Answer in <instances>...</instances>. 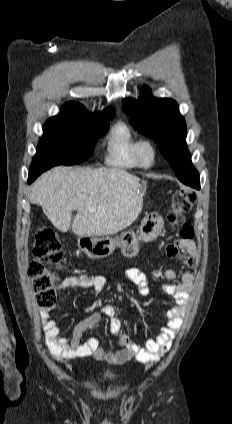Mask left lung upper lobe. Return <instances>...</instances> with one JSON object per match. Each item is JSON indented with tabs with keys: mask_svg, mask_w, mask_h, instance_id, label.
Returning <instances> with one entry per match:
<instances>
[{
	"mask_svg": "<svg viewBox=\"0 0 232 424\" xmlns=\"http://www.w3.org/2000/svg\"><path fill=\"white\" fill-rule=\"evenodd\" d=\"M123 110L138 131L157 143L180 181L197 173L186 146V123L174 100L152 97L144 87L138 100L123 99Z\"/></svg>",
	"mask_w": 232,
	"mask_h": 424,
	"instance_id": "1",
	"label": "left lung upper lobe"
}]
</instances>
